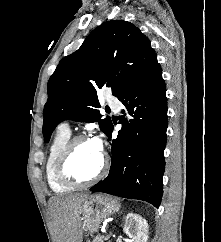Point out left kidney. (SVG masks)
Here are the masks:
<instances>
[{
    "label": "left kidney",
    "mask_w": 221,
    "mask_h": 242,
    "mask_svg": "<svg viewBox=\"0 0 221 242\" xmlns=\"http://www.w3.org/2000/svg\"><path fill=\"white\" fill-rule=\"evenodd\" d=\"M148 223L140 215L128 213L125 218L123 231L126 235L133 239L134 242L148 241Z\"/></svg>",
    "instance_id": "left-kidney-1"
}]
</instances>
